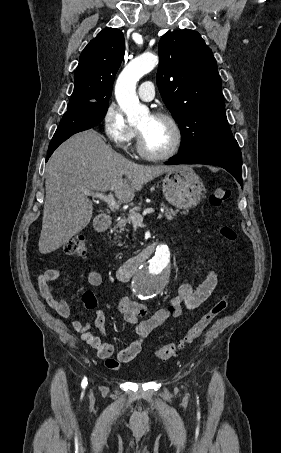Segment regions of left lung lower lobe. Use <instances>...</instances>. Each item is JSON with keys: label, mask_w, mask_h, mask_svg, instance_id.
<instances>
[{"label": "left lung lower lobe", "mask_w": 281, "mask_h": 453, "mask_svg": "<svg viewBox=\"0 0 281 453\" xmlns=\"http://www.w3.org/2000/svg\"><path fill=\"white\" fill-rule=\"evenodd\" d=\"M165 164H206L219 166L231 173L242 186V155L235 139L196 151L179 153L165 162Z\"/></svg>", "instance_id": "0a47b994"}]
</instances>
